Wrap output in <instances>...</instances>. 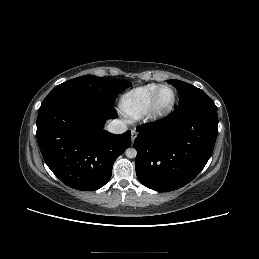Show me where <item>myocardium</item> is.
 <instances>
[{
  "mask_svg": "<svg viewBox=\"0 0 259 259\" xmlns=\"http://www.w3.org/2000/svg\"><path fill=\"white\" fill-rule=\"evenodd\" d=\"M164 89H170L172 91V100L171 102L164 106V107H160L158 105V98L160 93L164 90ZM177 101V94L175 89L170 86V85H162L158 88V90L155 92V94L153 95L151 102L149 104V107L146 111V116L150 121H159L161 119H163L164 117H166L167 115H169L172 110L175 107Z\"/></svg>",
  "mask_w": 259,
  "mask_h": 259,
  "instance_id": "obj_1",
  "label": "myocardium"
}]
</instances>
